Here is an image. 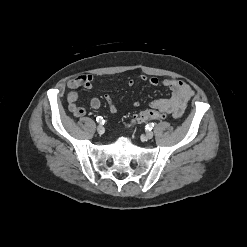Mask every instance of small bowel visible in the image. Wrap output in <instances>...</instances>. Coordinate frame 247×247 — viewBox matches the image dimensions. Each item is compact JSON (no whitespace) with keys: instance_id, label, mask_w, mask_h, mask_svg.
Returning a JSON list of instances; mask_svg holds the SVG:
<instances>
[{"instance_id":"small-bowel-1","label":"small bowel","mask_w":247,"mask_h":247,"mask_svg":"<svg viewBox=\"0 0 247 247\" xmlns=\"http://www.w3.org/2000/svg\"><path fill=\"white\" fill-rule=\"evenodd\" d=\"M142 82H147L152 86L159 85L160 81L156 77H148L142 75L140 77ZM94 78L90 74H83L73 77L68 80L67 87L69 91L67 93L66 99L68 103L69 111L77 118L83 117L86 114V111L83 107L77 105L78 93L77 89L84 87L91 89L93 87ZM135 81L130 79L128 81L129 86H133ZM162 84L171 90V96L167 99H156L150 103L152 109L158 110L163 115H171L174 118L182 116L184 113L187 104L191 97L193 96V90L189 84L182 80L177 79H165L162 81ZM106 103L112 113H117L118 108L109 95H105ZM133 105L138 107L140 105L139 101H134ZM101 106V101L98 97H92L90 99V107L94 110L99 109Z\"/></svg>"}]
</instances>
